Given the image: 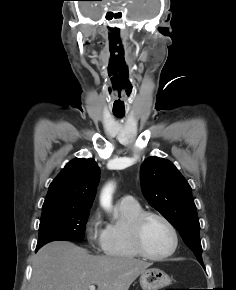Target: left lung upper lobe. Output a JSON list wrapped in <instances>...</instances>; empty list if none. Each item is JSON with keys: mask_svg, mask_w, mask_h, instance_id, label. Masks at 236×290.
<instances>
[{"mask_svg": "<svg viewBox=\"0 0 236 290\" xmlns=\"http://www.w3.org/2000/svg\"><path fill=\"white\" fill-rule=\"evenodd\" d=\"M141 186L149 204L180 233L201 264L200 224L191 187L170 161L150 157L141 165Z\"/></svg>", "mask_w": 236, "mask_h": 290, "instance_id": "left-lung-upper-lobe-1", "label": "left lung upper lobe"}]
</instances>
